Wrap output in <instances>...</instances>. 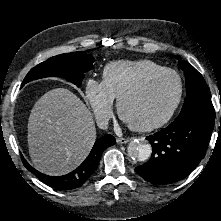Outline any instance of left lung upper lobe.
<instances>
[{"label":"left lung upper lobe","instance_id":"5c2ea615","mask_svg":"<svg viewBox=\"0 0 221 221\" xmlns=\"http://www.w3.org/2000/svg\"><path fill=\"white\" fill-rule=\"evenodd\" d=\"M179 66L186 77V98L178 117L196 107L214 108L211 102L209 88L202 75L189 63L182 61L179 57Z\"/></svg>","mask_w":221,"mask_h":221}]
</instances>
